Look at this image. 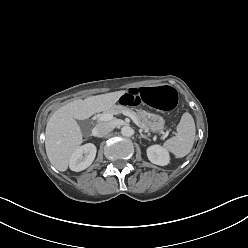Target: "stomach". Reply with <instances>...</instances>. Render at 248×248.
<instances>
[{"label":"stomach","instance_id":"0dacf381","mask_svg":"<svg viewBox=\"0 0 248 248\" xmlns=\"http://www.w3.org/2000/svg\"><path fill=\"white\" fill-rule=\"evenodd\" d=\"M139 115L152 132H159L163 129L165 121L160 115L146 111H140Z\"/></svg>","mask_w":248,"mask_h":248}]
</instances>
